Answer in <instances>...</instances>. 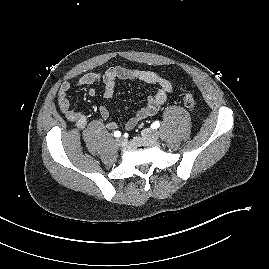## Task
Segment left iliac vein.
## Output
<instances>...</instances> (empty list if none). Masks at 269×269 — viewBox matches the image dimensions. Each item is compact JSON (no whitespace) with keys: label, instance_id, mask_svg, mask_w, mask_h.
<instances>
[{"label":"left iliac vein","instance_id":"obj_1","mask_svg":"<svg viewBox=\"0 0 269 269\" xmlns=\"http://www.w3.org/2000/svg\"><path fill=\"white\" fill-rule=\"evenodd\" d=\"M142 136L147 139L157 140L159 138V132L154 129L145 128L141 132Z\"/></svg>","mask_w":269,"mask_h":269}]
</instances>
